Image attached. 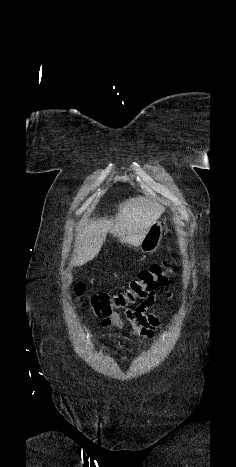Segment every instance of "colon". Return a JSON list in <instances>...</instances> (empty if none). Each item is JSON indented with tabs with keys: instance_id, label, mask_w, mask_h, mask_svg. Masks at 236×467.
I'll return each instance as SVG.
<instances>
[{
	"instance_id": "colon-1",
	"label": "colon",
	"mask_w": 236,
	"mask_h": 467,
	"mask_svg": "<svg viewBox=\"0 0 236 467\" xmlns=\"http://www.w3.org/2000/svg\"><path fill=\"white\" fill-rule=\"evenodd\" d=\"M171 269L167 261L155 263L143 269L138 278L132 280L129 285L116 292H102L90 297V303L99 316H109L119 310H123L130 304L142 301L159 288L166 285ZM75 294L81 296L84 292L82 284L74 287Z\"/></svg>"
}]
</instances>
